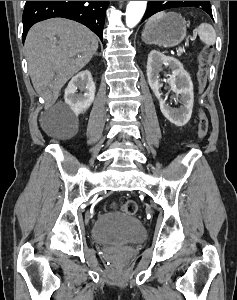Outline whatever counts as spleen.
<instances>
[{
  "mask_svg": "<svg viewBox=\"0 0 237 300\" xmlns=\"http://www.w3.org/2000/svg\"><path fill=\"white\" fill-rule=\"evenodd\" d=\"M166 13L161 11V13H156L153 17H150L147 21V25H152V23H156V21H160L165 17ZM197 35L200 37V41L205 43V45H214L216 41V33L212 27V25H207V23H202L199 25L198 29H195Z\"/></svg>",
  "mask_w": 237,
  "mask_h": 300,
  "instance_id": "1",
  "label": "spleen"
}]
</instances>
